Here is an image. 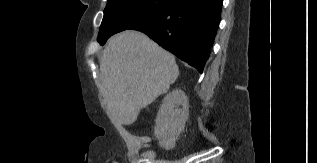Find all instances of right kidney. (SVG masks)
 Returning <instances> with one entry per match:
<instances>
[{"instance_id":"1","label":"right kidney","mask_w":317,"mask_h":163,"mask_svg":"<svg viewBox=\"0 0 317 163\" xmlns=\"http://www.w3.org/2000/svg\"><path fill=\"white\" fill-rule=\"evenodd\" d=\"M189 117L188 97L180 89L168 93L161 104L154 128L159 145L166 150L172 149L184 131Z\"/></svg>"}]
</instances>
